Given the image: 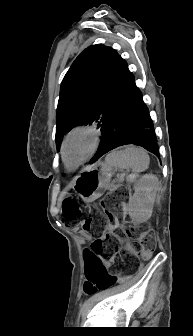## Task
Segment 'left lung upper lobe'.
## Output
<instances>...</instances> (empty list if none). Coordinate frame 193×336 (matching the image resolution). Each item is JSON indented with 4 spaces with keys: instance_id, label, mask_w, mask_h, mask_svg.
Masks as SVG:
<instances>
[{
    "instance_id": "5c2ea615",
    "label": "left lung upper lobe",
    "mask_w": 193,
    "mask_h": 336,
    "mask_svg": "<svg viewBox=\"0 0 193 336\" xmlns=\"http://www.w3.org/2000/svg\"><path fill=\"white\" fill-rule=\"evenodd\" d=\"M127 71L117 52L102 44L86 48L66 73L60 89L56 119L59 150L64 133L73 127H101L115 103Z\"/></svg>"
}]
</instances>
